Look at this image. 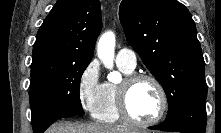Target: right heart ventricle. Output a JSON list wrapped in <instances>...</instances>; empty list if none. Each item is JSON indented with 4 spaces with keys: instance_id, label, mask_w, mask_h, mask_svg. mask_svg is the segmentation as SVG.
<instances>
[{
    "instance_id": "right-heart-ventricle-1",
    "label": "right heart ventricle",
    "mask_w": 221,
    "mask_h": 133,
    "mask_svg": "<svg viewBox=\"0 0 221 133\" xmlns=\"http://www.w3.org/2000/svg\"><path fill=\"white\" fill-rule=\"evenodd\" d=\"M118 65L120 71L125 75H131L134 70ZM118 84L114 82L103 83L102 93L93 116L100 122L116 124L122 121L117 103Z\"/></svg>"
}]
</instances>
